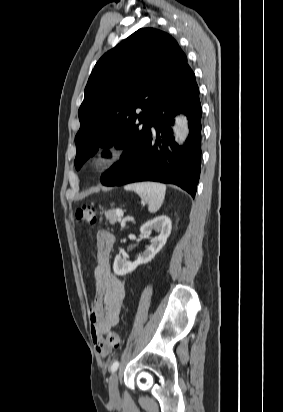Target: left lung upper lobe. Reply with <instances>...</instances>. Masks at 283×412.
I'll return each mask as SVG.
<instances>
[{
	"label": "left lung upper lobe",
	"instance_id": "1",
	"mask_svg": "<svg viewBox=\"0 0 283 412\" xmlns=\"http://www.w3.org/2000/svg\"><path fill=\"white\" fill-rule=\"evenodd\" d=\"M191 71L178 43L153 28L139 29L105 53L89 77L78 112L76 169L99 148L125 149L131 135L149 128Z\"/></svg>",
	"mask_w": 283,
	"mask_h": 412
}]
</instances>
